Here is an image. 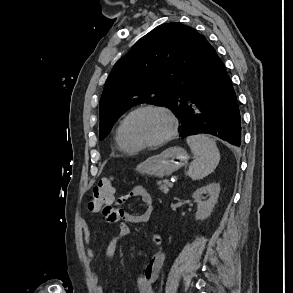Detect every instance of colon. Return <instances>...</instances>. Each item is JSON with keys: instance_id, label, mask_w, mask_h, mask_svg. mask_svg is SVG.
<instances>
[{"instance_id": "5ec220e1", "label": "colon", "mask_w": 293, "mask_h": 293, "mask_svg": "<svg viewBox=\"0 0 293 293\" xmlns=\"http://www.w3.org/2000/svg\"><path fill=\"white\" fill-rule=\"evenodd\" d=\"M114 178L107 176L102 178L93 188L88 207L93 211H103L109 207L114 198Z\"/></svg>"}]
</instances>
